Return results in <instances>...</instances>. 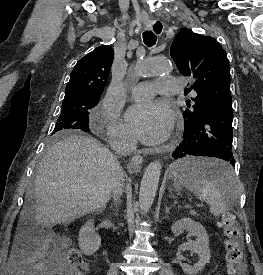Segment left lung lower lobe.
I'll list each match as a JSON object with an SVG mask.
<instances>
[{
    "label": "left lung lower lobe",
    "instance_id": "obj_1",
    "mask_svg": "<svg viewBox=\"0 0 263 275\" xmlns=\"http://www.w3.org/2000/svg\"><path fill=\"white\" fill-rule=\"evenodd\" d=\"M232 120V102L218 103L197 123L191 126L184 125L183 140L172 153V157L174 159L189 156L216 157L234 166L235 159L231 149Z\"/></svg>",
    "mask_w": 263,
    "mask_h": 275
}]
</instances>
